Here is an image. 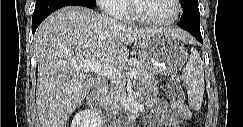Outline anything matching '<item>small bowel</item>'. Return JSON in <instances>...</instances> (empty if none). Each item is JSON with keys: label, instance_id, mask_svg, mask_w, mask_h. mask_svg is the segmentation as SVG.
<instances>
[{"label": "small bowel", "instance_id": "1", "mask_svg": "<svg viewBox=\"0 0 243 127\" xmlns=\"http://www.w3.org/2000/svg\"><path fill=\"white\" fill-rule=\"evenodd\" d=\"M148 104L155 110V115L150 119L149 127H181L188 124L192 119V111L183 101L172 99L167 103L148 93Z\"/></svg>", "mask_w": 243, "mask_h": 127}]
</instances>
